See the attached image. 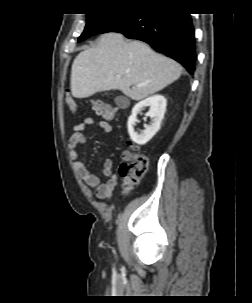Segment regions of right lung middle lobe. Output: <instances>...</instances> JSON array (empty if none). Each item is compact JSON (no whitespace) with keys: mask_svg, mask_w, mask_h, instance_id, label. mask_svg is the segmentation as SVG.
<instances>
[{"mask_svg":"<svg viewBox=\"0 0 252 303\" xmlns=\"http://www.w3.org/2000/svg\"><path fill=\"white\" fill-rule=\"evenodd\" d=\"M125 12L126 10H122L119 12L87 14L86 27L84 32L79 37L78 42H81L92 35L99 34L106 26L115 21Z\"/></svg>","mask_w":252,"mask_h":303,"instance_id":"1","label":"right lung middle lobe"}]
</instances>
